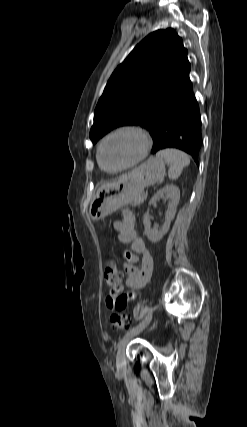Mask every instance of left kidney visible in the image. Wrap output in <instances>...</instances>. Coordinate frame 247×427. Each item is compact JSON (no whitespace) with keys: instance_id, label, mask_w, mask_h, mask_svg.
Listing matches in <instances>:
<instances>
[{"instance_id":"left-kidney-1","label":"left kidney","mask_w":247,"mask_h":427,"mask_svg":"<svg viewBox=\"0 0 247 427\" xmlns=\"http://www.w3.org/2000/svg\"><path fill=\"white\" fill-rule=\"evenodd\" d=\"M168 198L170 200L167 211L166 220L164 225L158 230L157 228H151L149 209L144 214L143 224L145 227V235L152 243L159 242L163 236L168 232L171 221L174 219L177 206L180 200V190L174 184H167L162 189L157 191L149 202V205L156 203L160 198Z\"/></svg>"}]
</instances>
